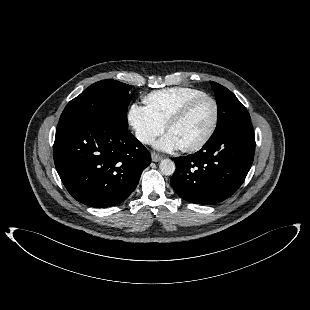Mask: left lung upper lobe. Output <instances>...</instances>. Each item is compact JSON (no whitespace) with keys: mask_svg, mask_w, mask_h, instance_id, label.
Instances as JSON below:
<instances>
[{"mask_svg":"<svg viewBox=\"0 0 310 310\" xmlns=\"http://www.w3.org/2000/svg\"><path fill=\"white\" fill-rule=\"evenodd\" d=\"M210 83L216 95L218 108L217 127L210 140L217 139L241 125L251 123L247 109L231 91L216 82Z\"/></svg>","mask_w":310,"mask_h":310,"instance_id":"left-lung-upper-lobe-1","label":"left lung upper lobe"}]
</instances>
